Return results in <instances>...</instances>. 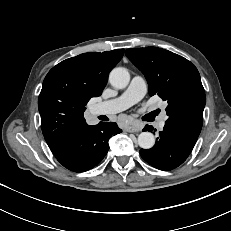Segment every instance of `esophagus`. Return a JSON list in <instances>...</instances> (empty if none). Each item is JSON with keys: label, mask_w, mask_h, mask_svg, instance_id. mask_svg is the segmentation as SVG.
Returning a JSON list of instances; mask_svg holds the SVG:
<instances>
[{"label": "esophagus", "mask_w": 231, "mask_h": 231, "mask_svg": "<svg viewBox=\"0 0 231 231\" xmlns=\"http://www.w3.org/2000/svg\"><path fill=\"white\" fill-rule=\"evenodd\" d=\"M127 132H139L141 131V127L140 126H136V125H130L126 128Z\"/></svg>", "instance_id": "34e87169"}]
</instances>
